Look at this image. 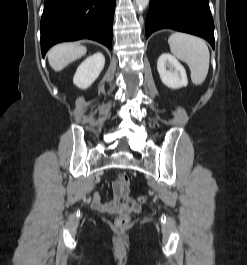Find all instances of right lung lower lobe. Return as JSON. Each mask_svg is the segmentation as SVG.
Here are the masks:
<instances>
[{
  "instance_id": "98d812e1",
  "label": "right lung lower lobe",
  "mask_w": 247,
  "mask_h": 265,
  "mask_svg": "<svg viewBox=\"0 0 247 265\" xmlns=\"http://www.w3.org/2000/svg\"><path fill=\"white\" fill-rule=\"evenodd\" d=\"M115 0H44L40 23L43 57L56 43L92 39L112 49Z\"/></svg>"
}]
</instances>
